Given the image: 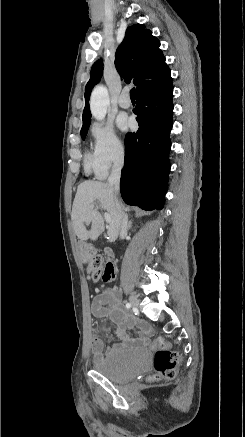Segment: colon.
Listing matches in <instances>:
<instances>
[{
  "instance_id": "obj_1",
  "label": "colon",
  "mask_w": 245,
  "mask_h": 437,
  "mask_svg": "<svg viewBox=\"0 0 245 437\" xmlns=\"http://www.w3.org/2000/svg\"><path fill=\"white\" fill-rule=\"evenodd\" d=\"M81 258L89 277L95 282L108 283L116 276L115 266L94 247L85 245L81 249ZM154 374L151 379L158 381L176 376L180 364L179 355L171 351L168 342L162 336L154 340Z\"/></svg>"
}]
</instances>
